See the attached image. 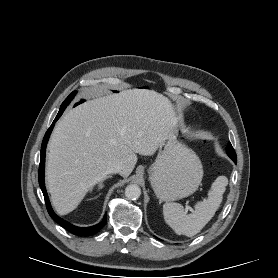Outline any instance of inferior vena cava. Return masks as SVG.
<instances>
[{"instance_id": "obj_1", "label": "inferior vena cava", "mask_w": 278, "mask_h": 278, "mask_svg": "<svg viewBox=\"0 0 278 278\" xmlns=\"http://www.w3.org/2000/svg\"><path fill=\"white\" fill-rule=\"evenodd\" d=\"M123 169V165L120 161H111L108 163L107 167H106V173L107 174H116V173H120Z\"/></svg>"}]
</instances>
